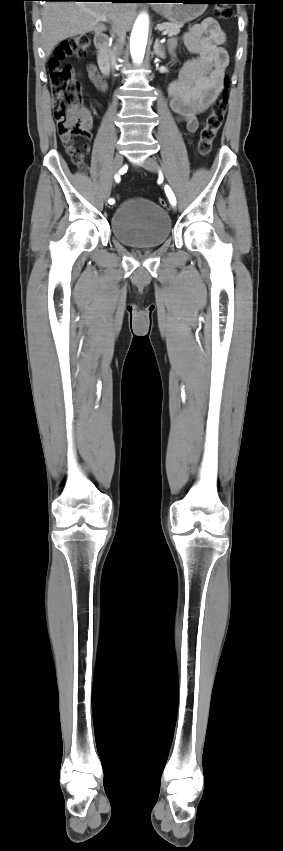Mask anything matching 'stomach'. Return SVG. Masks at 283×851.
Masks as SVG:
<instances>
[{
    "instance_id": "stomach-1",
    "label": "stomach",
    "mask_w": 283,
    "mask_h": 851,
    "mask_svg": "<svg viewBox=\"0 0 283 851\" xmlns=\"http://www.w3.org/2000/svg\"><path fill=\"white\" fill-rule=\"evenodd\" d=\"M156 5V10L171 23L185 24L199 17L207 8L208 0H166Z\"/></svg>"
}]
</instances>
